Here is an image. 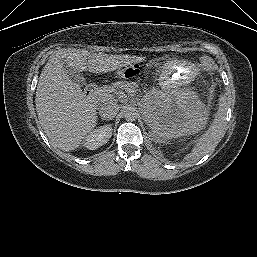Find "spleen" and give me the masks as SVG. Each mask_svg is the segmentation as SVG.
<instances>
[{
	"mask_svg": "<svg viewBox=\"0 0 257 257\" xmlns=\"http://www.w3.org/2000/svg\"><path fill=\"white\" fill-rule=\"evenodd\" d=\"M227 110V102L224 96L219 98L218 110L214 114V119L209 125L207 131L203 133L195 142L194 147L191 152L188 153L184 160L193 163L199 158L207 153L214 150L215 146L218 144L222 138L223 128L225 123Z\"/></svg>",
	"mask_w": 257,
	"mask_h": 257,
	"instance_id": "3e777b00",
	"label": "spleen"
}]
</instances>
